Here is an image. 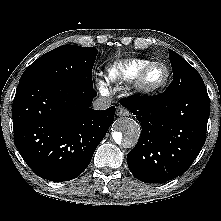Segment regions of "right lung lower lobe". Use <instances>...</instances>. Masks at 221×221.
<instances>
[{
	"label": "right lung lower lobe",
	"instance_id": "1",
	"mask_svg": "<svg viewBox=\"0 0 221 221\" xmlns=\"http://www.w3.org/2000/svg\"><path fill=\"white\" fill-rule=\"evenodd\" d=\"M96 94L61 82H19L12 105L14 144L39 177L69 181L87 168L115 114V106L91 108Z\"/></svg>",
	"mask_w": 221,
	"mask_h": 221
}]
</instances>
